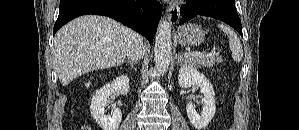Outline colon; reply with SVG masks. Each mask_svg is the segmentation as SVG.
I'll return each instance as SVG.
<instances>
[{"label": "colon", "mask_w": 299, "mask_h": 130, "mask_svg": "<svg viewBox=\"0 0 299 130\" xmlns=\"http://www.w3.org/2000/svg\"><path fill=\"white\" fill-rule=\"evenodd\" d=\"M79 130H91V128L88 126H82Z\"/></svg>", "instance_id": "1"}]
</instances>
